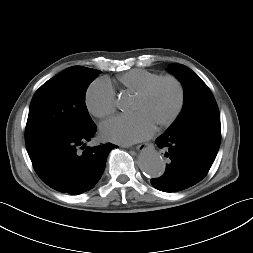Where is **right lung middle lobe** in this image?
Wrapping results in <instances>:
<instances>
[{
  "label": "right lung middle lobe",
  "instance_id": "1",
  "mask_svg": "<svg viewBox=\"0 0 253 253\" xmlns=\"http://www.w3.org/2000/svg\"><path fill=\"white\" fill-rule=\"evenodd\" d=\"M100 73L96 69L73 66L35 92L25 130L28 154L95 125L86 108L85 92Z\"/></svg>",
  "mask_w": 253,
  "mask_h": 253
}]
</instances>
